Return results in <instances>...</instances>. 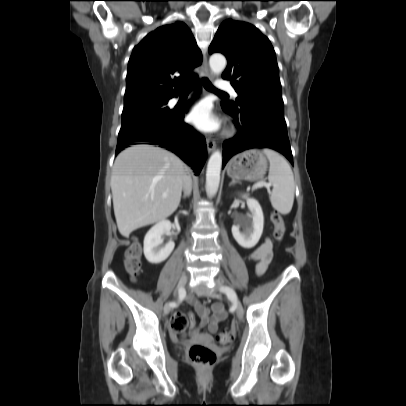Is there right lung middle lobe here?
Wrapping results in <instances>:
<instances>
[{"label": "right lung middle lobe", "instance_id": "obj_1", "mask_svg": "<svg viewBox=\"0 0 406 406\" xmlns=\"http://www.w3.org/2000/svg\"><path fill=\"white\" fill-rule=\"evenodd\" d=\"M169 99H151L124 106L119 135L154 127L166 121L173 113L166 104Z\"/></svg>", "mask_w": 406, "mask_h": 406}]
</instances>
